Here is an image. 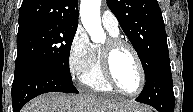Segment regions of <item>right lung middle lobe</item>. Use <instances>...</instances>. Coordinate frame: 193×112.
I'll use <instances>...</instances> for the list:
<instances>
[{"label": "right lung middle lobe", "instance_id": "1", "mask_svg": "<svg viewBox=\"0 0 193 112\" xmlns=\"http://www.w3.org/2000/svg\"><path fill=\"white\" fill-rule=\"evenodd\" d=\"M77 26L57 23L35 24L18 30L15 74L30 68L51 69L72 80L69 54Z\"/></svg>", "mask_w": 193, "mask_h": 112}]
</instances>
